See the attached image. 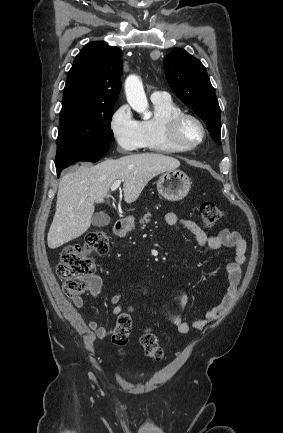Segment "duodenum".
Here are the masks:
<instances>
[{
    "mask_svg": "<svg viewBox=\"0 0 283 433\" xmlns=\"http://www.w3.org/2000/svg\"><path fill=\"white\" fill-rule=\"evenodd\" d=\"M128 229V224L124 220H118L116 221L114 225V232L117 236H123Z\"/></svg>",
    "mask_w": 283,
    "mask_h": 433,
    "instance_id": "410a0bca",
    "label": "duodenum"
}]
</instances>
